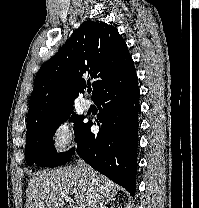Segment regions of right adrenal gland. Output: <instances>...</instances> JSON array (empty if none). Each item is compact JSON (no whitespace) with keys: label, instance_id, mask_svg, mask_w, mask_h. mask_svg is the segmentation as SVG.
<instances>
[{"label":"right adrenal gland","instance_id":"1","mask_svg":"<svg viewBox=\"0 0 199 208\" xmlns=\"http://www.w3.org/2000/svg\"><path fill=\"white\" fill-rule=\"evenodd\" d=\"M108 204H110V202H109V201H106V202L104 203V205H102L101 208H108ZM110 208H114V203H111Z\"/></svg>","mask_w":199,"mask_h":208}]
</instances>
